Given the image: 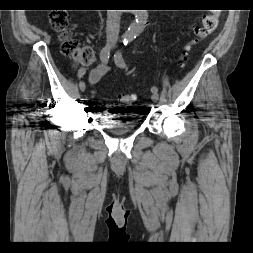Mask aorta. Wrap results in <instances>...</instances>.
Instances as JSON below:
<instances>
[{"instance_id": "aorta-1", "label": "aorta", "mask_w": 253, "mask_h": 253, "mask_svg": "<svg viewBox=\"0 0 253 253\" xmlns=\"http://www.w3.org/2000/svg\"><path fill=\"white\" fill-rule=\"evenodd\" d=\"M135 21L131 23L128 30L125 33V38L132 39L141 34L145 28L148 11L147 10H135Z\"/></svg>"}]
</instances>
